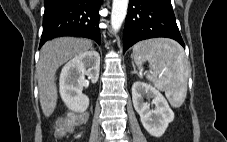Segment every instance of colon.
Masks as SVG:
<instances>
[{"label": "colon", "mask_w": 227, "mask_h": 142, "mask_svg": "<svg viewBox=\"0 0 227 142\" xmlns=\"http://www.w3.org/2000/svg\"><path fill=\"white\" fill-rule=\"evenodd\" d=\"M81 122L78 117H69L59 119L55 125V134L58 137H64L71 133L76 125Z\"/></svg>", "instance_id": "1"}]
</instances>
